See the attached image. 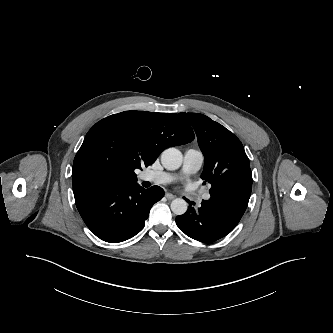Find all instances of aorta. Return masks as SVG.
I'll return each mask as SVG.
<instances>
[{
  "instance_id": "1",
  "label": "aorta",
  "mask_w": 333,
  "mask_h": 333,
  "mask_svg": "<svg viewBox=\"0 0 333 333\" xmlns=\"http://www.w3.org/2000/svg\"><path fill=\"white\" fill-rule=\"evenodd\" d=\"M161 163L167 170H176L182 164V153L174 147L167 148L161 154ZM170 207L175 215H183L188 205L184 199L176 198L171 202Z\"/></svg>"
}]
</instances>
